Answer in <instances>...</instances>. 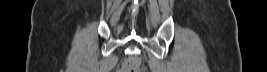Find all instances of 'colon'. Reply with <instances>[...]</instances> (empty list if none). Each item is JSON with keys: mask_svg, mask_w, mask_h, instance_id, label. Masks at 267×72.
<instances>
[{"mask_svg": "<svg viewBox=\"0 0 267 72\" xmlns=\"http://www.w3.org/2000/svg\"><path fill=\"white\" fill-rule=\"evenodd\" d=\"M120 72H139L138 62L127 61Z\"/></svg>", "mask_w": 267, "mask_h": 72, "instance_id": "5ec220e1", "label": "colon"}]
</instances>
